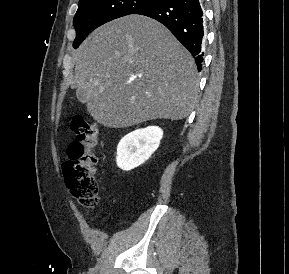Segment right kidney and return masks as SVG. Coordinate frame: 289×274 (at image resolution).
Listing matches in <instances>:
<instances>
[{"instance_id":"obj_1","label":"right kidney","mask_w":289,"mask_h":274,"mask_svg":"<svg viewBox=\"0 0 289 274\" xmlns=\"http://www.w3.org/2000/svg\"><path fill=\"white\" fill-rule=\"evenodd\" d=\"M163 131L158 126L137 129L125 135L117 146L116 163L124 171L143 164L157 150Z\"/></svg>"}]
</instances>
